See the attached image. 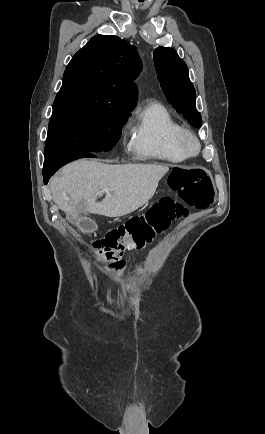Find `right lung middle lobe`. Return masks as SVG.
I'll return each instance as SVG.
<instances>
[{
  "label": "right lung middle lobe",
  "mask_w": 265,
  "mask_h": 434,
  "mask_svg": "<svg viewBox=\"0 0 265 434\" xmlns=\"http://www.w3.org/2000/svg\"><path fill=\"white\" fill-rule=\"evenodd\" d=\"M134 106L96 86L62 85L53 104L45 159L110 150Z\"/></svg>",
  "instance_id": "dd1d6c3e"
}]
</instances>
